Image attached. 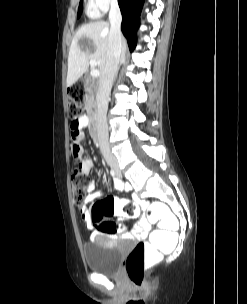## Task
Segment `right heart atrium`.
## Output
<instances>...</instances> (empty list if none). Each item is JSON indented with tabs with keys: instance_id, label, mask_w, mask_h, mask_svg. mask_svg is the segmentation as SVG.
I'll use <instances>...</instances> for the list:
<instances>
[{
	"instance_id": "right-heart-atrium-1",
	"label": "right heart atrium",
	"mask_w": 247,
	"mask_h": 304,
	"mask_svg": "<svg viewBox=\"0 0 247 304\" xmlns=\"http://www.w3.org/2000/svg\"><path fill=\"white\" fill-rule=\"evenodd\" d=\"M97 12H106L117 0H90Z\"/></svg>"
}]
</instances>
